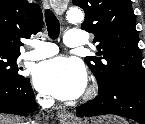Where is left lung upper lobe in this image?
Instances as JSON below:
<instances>
[{"mask_svg": "<svg viewBox=\"0 0 145 124\" xmlns=\"http://www.w3.org/2000/svg\"><path fill=\"white\" fill-rule=\"evenodd\" d=\"M85 11L81 28L95 35L97 56L86 64L95 75L99 92L119 81L145 85L138 48L136 19L130 0H73Z\"/></svg>", "mask_w": 145, "mask_h": 124, "instance_id": "5c2ea615", "label": "left lung upper lobe"}]
</instances>
